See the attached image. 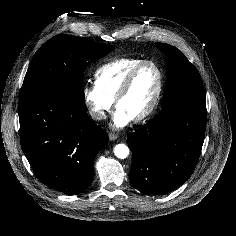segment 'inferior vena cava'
Listing matches in <instances>:
<instances>
[{
  "label": "inferior vena cava",
  "mask_w": 236,
  "mask_h": 236,
  "mask_svg": "<svg viewBox=\"0 0 236 236\" xmlns=\"http://www.w3.org/2000/svg\"><path fill=\"white\" fill-rule=\"evenodd\" d=\"M90 115L96 120L101 119L103 117L102 112L96 111L93 107H90Z\"/></svg>",
  "instance_id": "inferior-vena-cava-1"
}]
</instances>
